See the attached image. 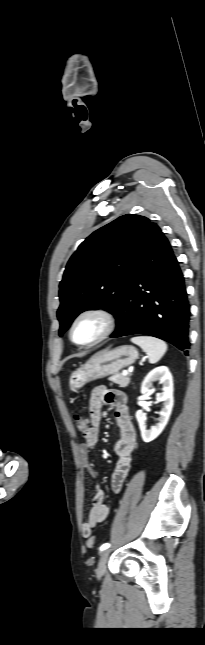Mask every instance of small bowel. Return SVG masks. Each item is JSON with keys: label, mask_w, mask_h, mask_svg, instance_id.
<instances>
[{"label": "small bowel", "mask_w": 205, "mask_h": 645, "mask_svg": "<svg viewBox=\"0 0 205 645\" xmlns=\"http://www.w3.org/2000/svg\"><path fill=\"white\" fill-rule=\"evenodd\" d=\"M104 405L115 408V418L121 433V438L114 447L118 460L111 476V488L115 493H118L128 476L137 445L136 430L131 421L126 395L123 392L110 390L105 386L93 389L89 400L91 427H89L87 435L84 436L85 443L79 445L78 451L85 470L96 477L97 472L89 457V451L99 440L101 412ZM104 501V490L96 486L88 517L82 525L84 537H89L93 529L107 518L109 509Z\"/></svg>", "instance_id": "obj_1"}]
</instances>
